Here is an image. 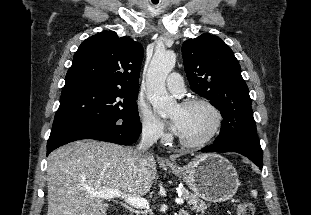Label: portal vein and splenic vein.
<instances>
[{
  "label": "portal vein and splenic vein",
  "mask_w": 311,
  "mask_h": 215,
  "mask_svg": "<svg viewBox=\"0 0 311 215\" xmlns=\"http://www.w3.org/2000/svg\"><path fill=\"white\" fill-rule=\"evenodd\" d=\"M92 196L94 197H101L104 199H112V198H122L127 202L130 206L137 208V209H147L149 208V202L141 197H132L130 195L124 196V194L117 190V189H106L102 191H95L92 192ZM175 202L177 204H183V198H176Z\"/></svg>",
  "instance_id": "portal-vein-and-splenic-vein-1"
}]
</instances>
